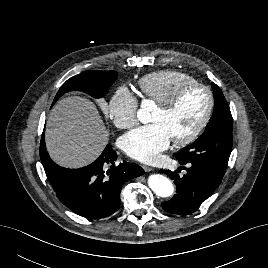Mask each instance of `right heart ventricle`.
I'll list each match as a JSON object with an SVG mask.
<instances>
[{
  "label": "right heart ventricle",
  "instance_id": "obj_1",
  "mask_svg": "<svg viewBox=\"0 0 268 268\" xmlns=\"http://www.w3.org/2000/svg\"><path fill=\"white\" fill-rule=\"evenodd\" d=\"M195 79L179 70L164 69L149 73L137 82L142 97L156 104L166 102L180 86Z\"/></svg>",
  "mask_w": 268,
  "mask_h": 268
}]
</instances>
